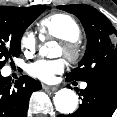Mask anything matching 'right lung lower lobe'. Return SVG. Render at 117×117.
<instances>
[{"mask_svg": "<svg viewBox=\"0 0 117 117\" xmlns=\"http://www.w3.org/2000/svg\"><path fill=\"white\" fill-rule=\"evenodd\" d=\"M40 89V82L28 76L12 85L11 77L0 74V117H25L31 94Z\"/></svg>", "mask_w": 117, "mask_h": 117, "instance_id": "right-lung-lower-lobe-1", "label": "right lung lower lobe"}]
</instances>
